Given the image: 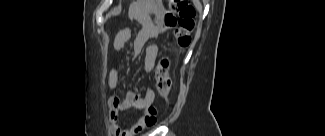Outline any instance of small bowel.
<instances>
[{"mask_svg": "<svg viewBox=\"0 0 325 136\" xmlns=\"http://www.w3.org/2000/svg\"><path fill=\"white\" fill-rule=\"evenodd\" d=\"M162 31V27L155 22V17H151L146 21L138 33L136 34L133 46L134 51L139 53L144 49V70L149 73L158 54V47L149 42L156 39ZM132 36V30L129 27L121 29L113 43L114 59L116 60L122 52L126 43ZM119 74L113 67L108 75V88L114 91L118 85ZM155 100V92L153 89H148L143 95L138 91H130L124 97L118 95L110 96L108 100L109 115L112 121L113 132L116 136H135L142 132L145 128L152 127L156 123V109L153 106ZM133 108L144 111V115L133 125L124 128L118 123L119 113L123 110Z\"/></svg>", "mask_w": 325, "mask_h": 136, "instance_id": "obj_1", "label": "small bowel"}]
</instances>
